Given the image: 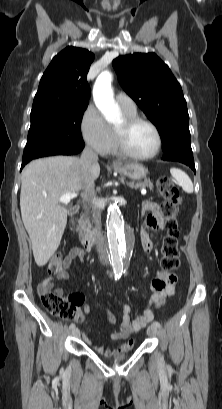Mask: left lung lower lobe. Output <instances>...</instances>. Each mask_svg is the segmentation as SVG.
I'll return each instance as SVG.
<instances>
[{
	"mask_svg": "<svg viewBox=\"0 0 222 409\" xmlns=\"http://www.w3.org/2000/svg\"><path fill=\"white\" fill-rule=\"evenodd\" d=\"M163 160L181 162L189 166L194 172L196 171L192 149H180L165 152Z\"/></svg>",
	"mask_w": 222,
	"mask_h": 409,
	"instance_id": "0a47b994",
	"label": "left lung lower lobe"
}]
</instances>
